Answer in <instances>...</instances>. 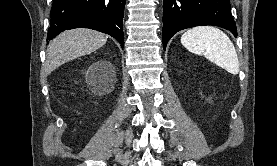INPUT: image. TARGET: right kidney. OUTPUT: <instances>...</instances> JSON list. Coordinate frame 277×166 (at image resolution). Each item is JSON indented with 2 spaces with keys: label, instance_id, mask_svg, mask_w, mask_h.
I'll return each instance as SVG.
<instances>
[{
  "label": "right kidney",
  "instance_id": "obj_1",
  "mask_svg": "<svg viewBox=\"0 0 277 166\" xmlns=\"http://www.w3.org/2000/svg\"><path fill=\"white\" fill-rule=\"evenodd\" d=\"M105 65H106L105 62H98L95 66H96V68H101V67H103Z\"/></svg>",
  "mask_w": 277,
  "mask_h": 166
}]
</instances>
